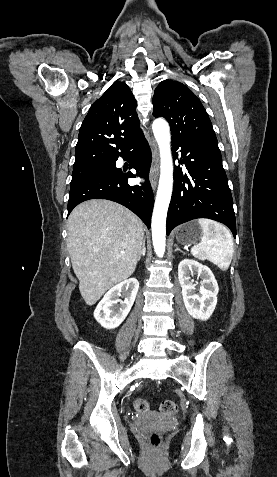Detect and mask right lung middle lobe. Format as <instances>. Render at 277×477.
<instances>
[{
    "label": "right lung middle lobe",
    "instance_id": "obj_1",
    "mask_svg": "<svg viewBox=\"0 0 277 477\" xmlns=\"http://www.w3.org/2000/svg\"><path fill=\"white\" fill-rule=\"evenodd\" d=\"M109 167H111L110 162H103L85 167L73 168L71 185L90 175H93L100 170L107 169Z\"/></svg>",
    "mask_w": 277,
    "mask_h": 477
}]
</instances>
